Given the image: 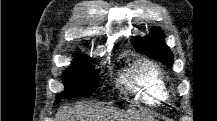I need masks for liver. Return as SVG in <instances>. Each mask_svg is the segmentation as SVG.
I'll return each mask as SVG.
<instances>
[{
	"mask_svg": "<svg viewBox=\"0 0 217 121\" xmlns=\"http://www.w3.org/2000/svg\"><path fill=\"white\" fill-rule=\"evenodd\" d=\"M111 112L113 111L78 105L72 109L68 107L60 109L56 114V119L57 121H107L108 114Z\"/></svg>",
	"mask_w": 217,
	"mask_h": 121,
	"instance_id": "6515ba94",
	"label": "liver"
}]
</instances>
